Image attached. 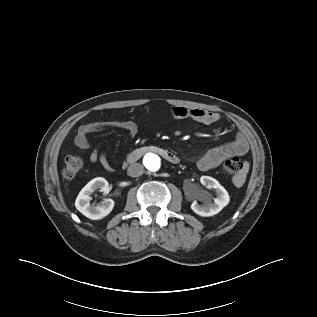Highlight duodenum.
Segmentation results:
<instances>
[{"mask_svg":"<svg viewBox=\"0 0 317 317\" xmlns=\"http://www.w3.org/2000/svg\"><path fill=\"white\" fill-rule=\"evenodd\" d=\"M146 153L157 154L172 164L179 163V157L174 152L167 150V149H164V148H161V147H158V146H154V145L143 146V147H140V148H137V149L131 151L127 155V162L134 163V162L138 161Z\"/></svg>","mask_w":317,"mask_h":317,"instance_id":"410a0bca","label":"duodenum"}]
</instances>
